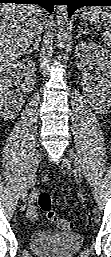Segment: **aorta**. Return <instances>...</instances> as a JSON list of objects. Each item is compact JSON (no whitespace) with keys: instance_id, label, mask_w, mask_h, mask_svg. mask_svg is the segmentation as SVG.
I'll list each match as a JSON object with an SVG mask.
<instances>
[{"instance_id":"obj_1","label":"aorta","mask_w":111,"mask_h":257,"mask_svg":"<svg viewBox=\"0 0 111 257\" xmlns=\"http://www.w3.org/2000/svg\"><path fill=\"white\" fill-rule=\"evenodd\" d=\"M68 21V10L66 5H58L57 7V24L59 27L64 28ZM65 34L59 33L58 38L64 39Z\"/></svg>"}]
</instances>
